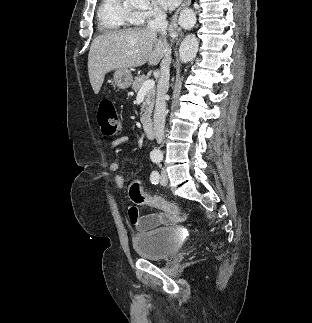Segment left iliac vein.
<instances>
[{
    "mask_svg": "<svg viewBox=\"0 0 312 323\" xmlns=\"http://www.w3.org/2000/svg\"><path fill=\"white\" fill-rule=\"evenodd\" d=\"M160 183L163 186H166L167 183H168V177H167V172H166L165 168H163L162 171H161Z\"/></svg>",
    "mask_w": 312,
    "mask_h": 323,
    "instance_id": "obj_1",
    "label": "left iliac vein"
}]
</instances>
